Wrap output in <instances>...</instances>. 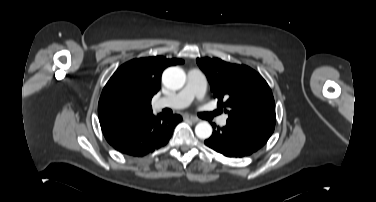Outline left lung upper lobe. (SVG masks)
<instances>
[{
    "instance_id": "1",
    "label": "left lung upper lobe",
    "mask_w": 376,
    "mask_h": 202,
    "mask_svg": "<svg viewBox=\"0 0 376 202\" xmlns=\"http://www.w3.org/2000/svg\"><path fill=\"white\" fill-rule=\"evenodd\" d=\"M196 61L208 77L218 106L228 113V120L273 133L274 98L260 74L245 65L230 64L218 58Z\"/></svg>"
}]
</instances>
